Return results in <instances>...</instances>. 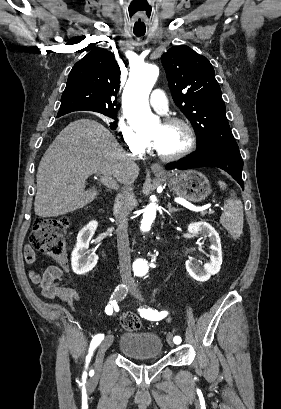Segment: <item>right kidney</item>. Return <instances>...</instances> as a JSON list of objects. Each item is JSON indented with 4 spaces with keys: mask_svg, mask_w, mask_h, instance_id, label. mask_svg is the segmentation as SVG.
I'll return each mask as SVG.
<instances>
[{
    "mask_svg": "<svg viewBox=\"0 0 281 409\" xmlns=\"http://www.w3.org/2000/svg\"><path fill=\"white\" fill-rule=\"evenodd\" d=\"M97 227V221H90L77 235L76 247L71 257L72 269L76 275H86L98 263V255L89 251V243Z\"/></svg>",
    "mask_w": 281,
    "mask_h": 409,
    "instance_id": "obj_1",
    "label": "right kidney"
}]
</instances>
